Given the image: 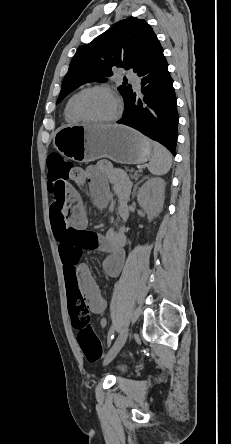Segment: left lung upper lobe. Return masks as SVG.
I'll use <instances>...</instances> for the list:
<instances>
[{"label":"left lung upper lobe","mask_w":231,"mask_h":444,"mask_svg":"<svg viewBox=\"0 0 231 444\" xmlns=\"http://www.w3.org/2000/svg\"><path fill=\"white\" fill-rule=\"evenodd\" d=\"M160 48L157 36L145 20L131 17L118 22L77 50L64 77L57 103L84 83L106 82L114 67L137 73ZM118 90L125 100L132 88L123 84Z\"/></svg>","instance_id":"left-lung-upper-lobe-1"}]
</instances>
